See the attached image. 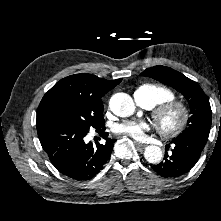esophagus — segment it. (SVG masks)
<instances>
[{"label":"esophagus","instance_id":"obj_1","mask_svg":"<svg viewBox=\"0 0 221 221\" xmlns=\"http://www.w3.org/2000/svg\"><path fill=\"white\" fill-rule=\"evenodd\" d=\"M135 145L137 146L138 149H144L146 147V144L140 142H135Z\"/></svg>","mask_w":221,"mask_h":221}]
</instances>
